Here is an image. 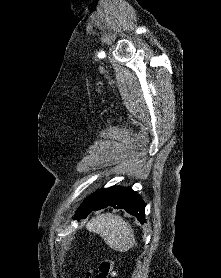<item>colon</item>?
<instances>
[{"mask_svg":"<svg viewBox=\"0 0 221 278\" xmlns=\"http://www.w3.org/2000/svg\"><path fill=\"white\" fill-rule=\"evenodd\" d=\"M91 278H116V262L112 259H105L100 262L95 274L87 273Z\"/></svg>","mask_w":221,"mask_h":278,"instance_id":"colon-1","label":"colon"}]
</instances>
